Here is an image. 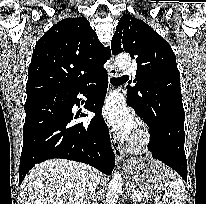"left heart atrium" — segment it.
<instances>
[{
	"label": "left heart atrium",
	"instance_id": "39dd6f15",
	"mask_svg": "<svg viewBox=\"0 0 206 204\" xmlns=\"http://www.w3.org/2000/svg\"><path fill=\"white\" fill-rule=\"evenodd\" d=\"M104 118L123 134H130L135 128V119L131 111L123 101L117 97H111L102 110Z\"/></svg>",
	"mask_w": 206,
	"mask_h": 204
}]
</instances>
